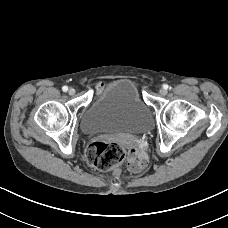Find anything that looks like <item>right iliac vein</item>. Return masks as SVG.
Masks as SVG:
<instances>
[{
  "instance_id": "right-iliac-vein-1",
  "label": "right iliac vein",
  "mask_w": 228,
  "mask_h": 228,
  "mask_svg": "<svg viewBox=\"0 0 228 228\" xmlns=\"http://www.w3.org/2000/svg\"><path fill=\"white\" fill-rule=\"evenodd\" d=\"M68 93H69V95H74V94H75V89L70 88V89L68 90Z\"/></svg>"
}]
</instances>
